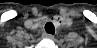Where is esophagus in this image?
Wrapping results in <instances>:
<instances>
[{"label":"esophagus","mask_w":97,"mask_h":48,"mask_svg":"<svg viewBox=\"0 0 97 48\" xmlns=\"http://www.w3.org/2000/svg\"><path fill=\"white\" fill-rule=\"evenodd\" d=\"M43 37L48 38V39H53L54 38V36L52 34H48V33H44Z\"/></svg>","instance_id":"esophagus-1"}]
</instances>
